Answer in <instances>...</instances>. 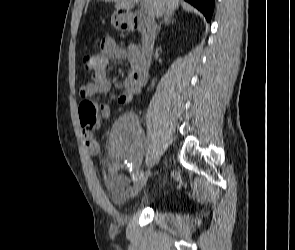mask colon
<instances>
[{
  "label": "colon",
  "instance_id": "5ec220e1",
  "mask_svg": "<svg viewBox=\"0 0 295 250\" xmlns=\"http://www.w3.org/2000/svg\"><path fill=\"white\" fill-rule=\"evenodd\" d=\"M83 68L89 72H95L97 60L94 54L88 53L82 59ZM79 117L85 132H91L99 124L96 105L89 99H84L79 105Z\"/></svg>",
  "mask_w": 295,
  "mask_h": 250
}]
</instances>
